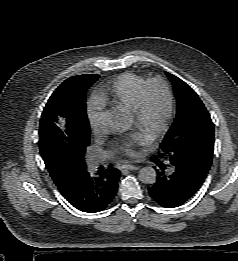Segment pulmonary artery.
<instances>
[{
  "label": "pulmonary artery",
  "mask_w": 238,
  "mask_h": 261,
  "mask_svg": "<svg viewBox=\"0 0 238 261\" xmlns=\"http://www.w3.org/2000/svg\"><path fill=\"white\" fill-rule=\"evenodd\" d=\"M107 158H108L107 155H101L94 158L91 163L92 167L98 166L99 164L103 163Z\"/></svg>",
  "instance_id": "e3ab8cb5"
}]
</instances>
